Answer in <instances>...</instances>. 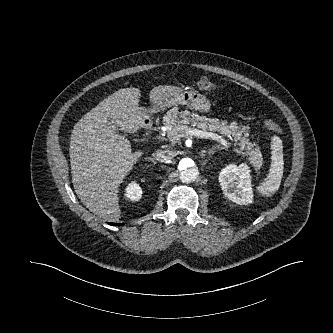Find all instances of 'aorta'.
<instances>
[{"label": "aorta", "mask_w": 333, "mask_h": 333, "mask_svg": "<svg viewBox=\"0 0 333 333\" xmlns=\"http://www.w3.org/2000/svg\"><path fill=\"white\" fill-rule=\"evenodd\" d=\"M176 169L183 182H193L198 178L199 170L196 162L189 157L177 159Z\"/></svg>", "instance_id": "762f6f07"}]
</instances>
